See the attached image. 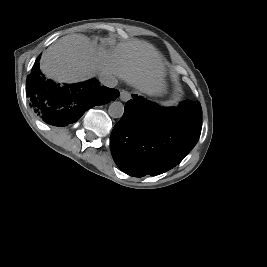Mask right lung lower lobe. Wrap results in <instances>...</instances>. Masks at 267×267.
<instances>
[{"label": "right lung lower lobe", "instance_id": "obj_1", "mask_svg": "<svg viewBox=\"0 0 267 267\" xmlns=\"http://www.w3.org/2000/svg\"><path fill=\"white\" fill-rule=\"evenodd\" d=\"M27 76L26 93L30 107L47 124L63 127L74 123L90 108L109 103L119 91L99 86L96 79L61 85L42 77L38 64Z\"/></svg>", "mask_w": 267, "mask_h": 267}]
</instances>
